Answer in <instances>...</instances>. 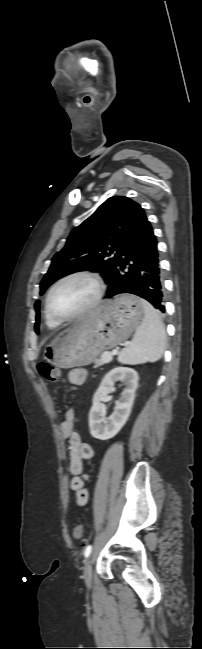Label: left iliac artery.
<instances>
[{
	"label": "left iliac artery",
	"mask_w": 202,
	"mask_h": 649,
	"mask_svg": "<svg viewBox=\"0 0 202 649\" xmlns=\"http://www.w3.org/2000/svg\"><path fill=\"white\" fill-rule=\"evenodd\" d=\"M91 551H92V546H91V545H88V546L85 548L84 556H85V557H88V556L90 555Z\"/></svg>",
	"instance_id": "obj_1"
}]
</instances>
